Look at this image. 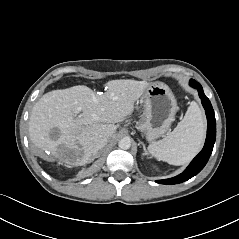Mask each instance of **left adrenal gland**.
Wrapping results in <instances>:
<instances>
[{
	"mask_svg": "<svg viewBox=\"0 0 239 239\" xmlns=\"http://www.w3.org/2000/svg\"><path fill=\"white\" fill-rule=\"evenodd\" d=\"M140 143H141V145L143 146V150H144L143 155H148V152H147V150H146L145 144H144L142 141H140Z\"/></svg>",
	"mask_w": 239,
	"mask_h": 239,
	"instance_id": "1",
	"label": "left adrenal gland"
}]
</instances>
